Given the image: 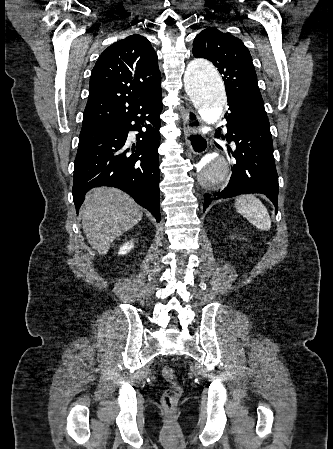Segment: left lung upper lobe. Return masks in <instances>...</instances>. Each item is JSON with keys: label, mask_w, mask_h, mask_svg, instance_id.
I'll list each match as a JSON object with an SVG mask.
<instances>
[{"label": "left lung upper lobe", "mask_w": 333, "mask_h": 449, "mask_svg": "<svg viewBox=\"0 0 333 449\" xmlns=\"http://www.w3.org/2000/svg\"><path fill=\"white\" fill-rule=\"evenodd\" d=\"M193 55L210 60L218 68L226 86L228 105L268 121L252 57L240 39L207 28L195 37Z\"/></svg>", "instance_id": "5c2ea615"}]
</instances>
